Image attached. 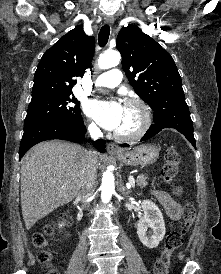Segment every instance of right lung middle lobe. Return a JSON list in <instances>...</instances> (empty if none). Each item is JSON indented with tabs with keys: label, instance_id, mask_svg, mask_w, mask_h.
<instances>
[{
	"label": "right lung middle lobe",
	"instance_id": "right-lung-middle-lobe-1",
	"mask_svg": "<svg viewBox=\"0 0 221 274\" xmlns=\"http://www.w3.org/2000/svg\"><path fill=\"white\" fill-rule=\"evenodd\" d=\"M47 120H64L71 123L83 122L80 102L72 96V93L32 99L28 107L24 127Z\"/></svg>",
	"mask_w": 221,
	"mask_h": 274
}]
</instances>
